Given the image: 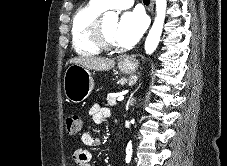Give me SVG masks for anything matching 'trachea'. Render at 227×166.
<instances>
[{"label": "trachea", "mask_w": 227, "mask_h": 166, "mask_svg": "<svg viewBox=\"0 0 227 166\" xmlns=\"http://www.w3.org/2000/svg\"><path fill=\"white\" fill-rule=\"evenodd\" d=\"M144 4H149V0H143Z\"/></svg>", "instance_id": "obj_1"}]
</instances>
